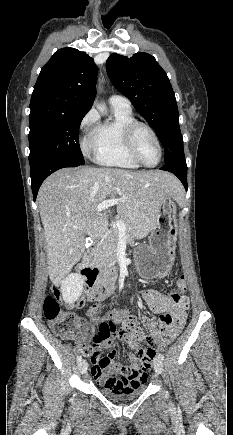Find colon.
<instances>
[{
	"instance_id": "colon-1",
	"label": "colon",
	"mask_w": 233,
	"mask_h": 435,
	"mask_svg": "<svg viewBox=\"0 0 233 435\" xmlns=\"http://www.w3.org/2000/svg\"><path fill=\"white\" fill-rule=\"evenodd\" d=\"M184 282V276L179 279ZM63 296V286L60 283H54L52 287V293L44 299L43 313L46 320L49 322V326L52 332L59 338L66 340L73 332L75 325L76 315L73 311L68 309H61L60 303ZM83 302L78 303V307L83 306ZM109 318V317H106ZM167 319L164 317V320ZM133 322V317L127 315L123 319L124 330L128 331ZM139 336L143 337L148 344V348L138 349L139 352V366L145 364L148 369L152 366L153 358L156 355V350L152 347L153 337L151 332L143 333L139 332ZM102 338L99 335L93 337V344L98 345L101 343ZM82 354L90 356L93 363L108 364L109 358L104 356L100 351L91 352L87 345H83L80 348ZM132 374L129 378L122 377L120 379L113 380V384L119 389L120 392H131L137 386L138 382L135 380L137 376V368L135 366L127 367Z\"/></svg>"
}]
</instances>
